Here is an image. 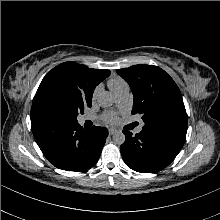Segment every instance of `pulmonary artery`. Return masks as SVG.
<instances>
[{
  "label": "pulmonary artery",
  "instance_id": "e3ab8cb5",
  "mask_svg": "<svg viewBox=\"0 0 220 220\" xmlns=\"http://www.w3.org/2000/svg\"><path fill=\"white\" fill-rule=\"evenodd\" d=\"M128 94H129V87L127 85L120 88L119 90L114 92L116 102L118 104H123L128 99ZM85 120H87V117H82L80 119L81 122H84ZM141 131H142V126H139L136 129V133H140Z\"/></svg>",
  "mask_w": 220,
  "mask_h": 220
}]
</instances>
